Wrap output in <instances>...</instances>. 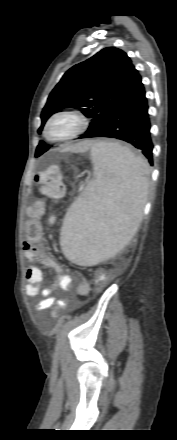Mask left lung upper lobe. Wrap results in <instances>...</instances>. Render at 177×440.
Here are the masks:
<instances>
[{
    "label": "left lung upper lobe",
    "mask_w": 177,
    "mask_h": 440,
    "mask_svg": "<svg viewBox=\"0 0 177 440\" xmlns=\"http://www.w3.org/2000/svg\"><path fill=\"white\" fill-rule=\"evenodd\" d=\"M141 76L127 54L116 47H107L88 60L70 68L50 93L41 113L42 125L62 108L79 109L92 122L86 134L99 129L127 100ZM50 148L43 141L37 146L35 157Z\"/></svg>",
    "instance_id": "1"
}]
</instances>
